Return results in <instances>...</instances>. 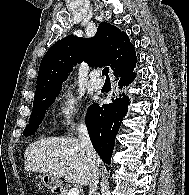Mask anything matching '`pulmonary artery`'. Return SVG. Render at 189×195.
<instances>
[{
    "label": "pulmonary artery",
    "instance_id": "1",
    "mask_svg": "<svg viewBox=\"0 0 189 195\" xmlns=\"http://www.w3.org/2000/svg\"><path fill=\"white\" fill-rule=\"evenodd\" d=\"M90 84L96 90L102 88L103 80L100 78V73H98V72H92L91 73V75H90Z\"/></svg>",
    "mask_w": 189,
    "mask_h": 195
}]
</instances>
